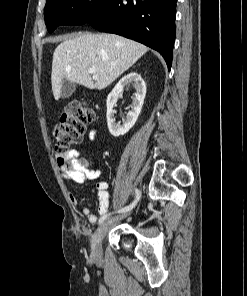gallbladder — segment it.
I'll list each match as a JSON object with an SVG mask.
<instances>
[{
	"instance_id": "1",
	"label": "gallbladder",
	"mask_w": 247,
	"mask_h": 296,
	"mask_svg": "<svg viewBox=\"0 0 247 296\" xmlns=\"http://www.w3.org/2000/svg\"><path fill=\"white\" fill-rule=\"evenodd\" d=\"M76 86L74 83L64 79L61 88V98H69L75 92Z\"/></svg>"
}]
</instances>
